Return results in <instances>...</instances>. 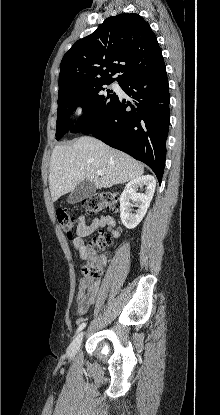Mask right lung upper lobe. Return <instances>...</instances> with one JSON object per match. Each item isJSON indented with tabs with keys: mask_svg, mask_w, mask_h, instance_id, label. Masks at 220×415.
I'll list each match as a JSON object with an SVG mask.
<instances>
[{
	"mask_svg": "<svg viewBox=\"0 0 220 415\" xmlns=\"http://www.w3.org/2000/svg\"><path fill=\"white\" fill-rule=\"evenodd\" d=\"M164 62L157 38L138 14L107 18L92 34L76 41L60 65L59 92L149 71ZM120 73L116 79L110 77Z\"/></svg>",
	"mask_w": 220,
	"mask_h": 415,
	"instance_id": "1",
	"label": "right lung upper lobe"
}]
</instances>
